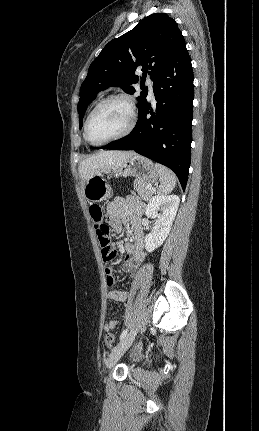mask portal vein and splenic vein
<instances>
[{"label":"portal vein and splenic vein","mask_w":259,"mask_h":431,"mask_svg":"<svg viewBox=\"0 0 259 431\" xmlns=\"http://www.w3.org/2000/svg\"><path fill=\"white\" fill-rule=\"evenodd\" d=\"M147 189L152 190V186L151 185H147Z\"/></svg>","instance_id":"1"}]
</instances>
